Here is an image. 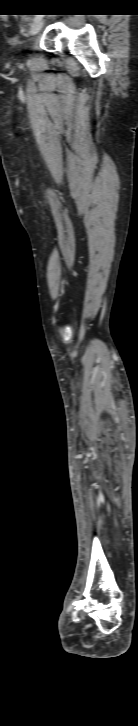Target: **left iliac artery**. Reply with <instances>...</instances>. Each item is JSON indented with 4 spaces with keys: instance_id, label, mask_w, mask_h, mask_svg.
<instances>
[{
    "instance_id": "left-iliac-artery-1",
    "label": "left iliac artery",
    "mask_w": 138,
    "mask_h": 726,
    "mask_svg": "<svg viewBox=\"0 0 138 726\" xmlns=\"http://www.w3.org/2000/svg\"><path fill=\"white\" fill-rule=\"evenodd\" d=\"M39 18H40V16H35L33 20H34V21H36V20H38Z\"/></svg>"
}]
</instances>
